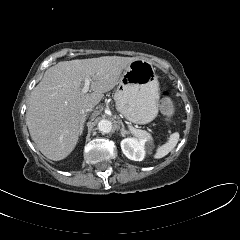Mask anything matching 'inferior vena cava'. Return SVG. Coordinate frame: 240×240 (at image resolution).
<instances>
[{"label":"inferior vena cava","instance_id":"inferior-vena-cava-1","mask_svg":"<svg viewBox=\"0 0 240 240\" xmlns=\"http://www.w3.org/2000/svg\"><path fill=\"white\" fill-rule=\"evenodd\" d=\"M90 111H92V108H91V107H85V108L81 109L80 114L83 116V115H85L87 112H90Z\"/></svg>","mask_w":240,"mask_h":240}]
</instances>
